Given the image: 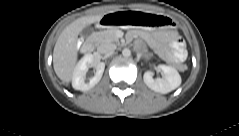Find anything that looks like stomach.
Masks as SVG:
<instances>
[{
  "mask_svg": "<svg viewBox=\"0 0 239 136\" xmlns=\"http://www.w3.org/2000/svg\"><path fill=\"white\" fill-rule=\"evenodd\" d=\"M152 19L156 22L152 23ZM115 24L118 26H134L139 28H148L155 30V26H164L165 28L172 27L174 25L171 19L164 16L150 15L141 12H116Z\"/></svg>",
  "mask_w": 239,
  "mask_h": 136,
  "instance_id": "stomach-1",
  "label": "stomach"
}]
</instances>
